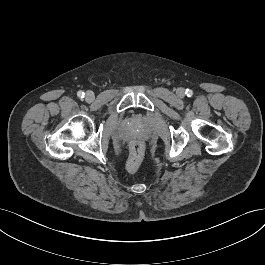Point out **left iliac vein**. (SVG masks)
Listing matches in <instances>:
<instances>
[{"label":"left iliac vein","mask_w":265,"mask_h":265,"mask_svg":"<svg viewBox=\"0 0 265 265\" xmlns=\"http://www.w3.org/2000/svg\"><path fill=\"white\" fill-rule=\"evenodd\" d=\"M178 94H179V96H183L184 91L182 89H178Z\"/></svg>","instance_id":"1"}]
</instances>
